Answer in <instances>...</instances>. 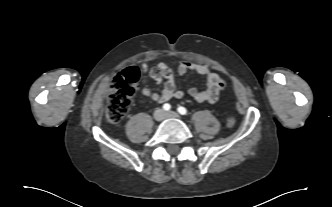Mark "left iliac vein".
Listing matches in <instances>:
<instances>
[{
	"label": "left iliac vein",
	"mask_w": 332,
	"mask_h": 207,
	"mask_svg": "<svg viewBox=\"0 0 332 207\" xmlns=\"http://www.w3.org/2000/svg\"><path fill=\"white\" fill-rule=\"evenodd\" d=\"M166 117L168 118H176V119H180L181 117L174 111H169L167 113H165Z\"/></svg>",
	"instance_id": "obj_1"
}]
</instances>
